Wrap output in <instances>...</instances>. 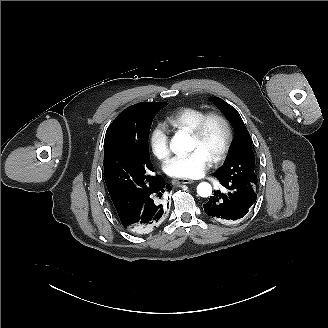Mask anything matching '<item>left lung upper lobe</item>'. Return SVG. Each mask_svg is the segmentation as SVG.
<instances>
[{
  "label": "left lung upper lobe",
  "mask_w": 328,
  "mask_h": 328,
  "mask_svg": "<svg viewBox=\"0 0 328 328\" xmlns=\"http://www.w3.org/2000/svg\"><path fill=\"white\" fill-rule=\"evenodd\" d=\"M211 99L237 131L236 138L229 149V154L223 166L215 174L225 180L244 181L255 185L257 175L255 174L252 140L241 116L233 106L224 100L218 97Z\"/></svg>",
  "instance_id": "left-lung-upper-lobe-1"
}]
</instances>
